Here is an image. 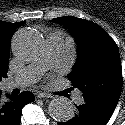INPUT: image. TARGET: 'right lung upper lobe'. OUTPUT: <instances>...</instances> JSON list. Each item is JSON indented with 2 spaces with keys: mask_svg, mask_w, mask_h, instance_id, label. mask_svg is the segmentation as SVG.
Masks as SVG:
<instances>
[{
  "mask_svg": "<svg viewBox=\"0 0 125 125\" xmlns=\"http://www.w3.org/2000/svg\"><path fill=\"white\" fill-rule=\"evenodd\" d=\"M24 23L25 21L9 23L0 20V81L3 77H7L11 34Z\"/></svg>",
  "mask_w": 125,
  "mask_h": 125,
  "instance_id": "right-lung-upper-lobe-1",
  "label": "right lung upper lobe"
}]
</instances>
